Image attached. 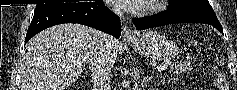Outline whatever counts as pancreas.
I'll return each instance as SVG.
<instances>
[{
    "label": "pancreas",
    "mask_w": 237,
    "mask_h": 90,
    "mask_svg": "<svg viewBox=\"0 0 237 90\" xmlns=\"http://www.w3.org/2000/svg\"><path fill=\"white\" fill-rule=\"evenodd\" d=\"M188 69H191V64H180L176 66L175 72H188Z\"/></svg>",
    "instance_id": "obj_1"
}]
</instances>
